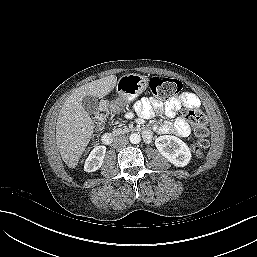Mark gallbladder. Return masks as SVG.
<instances>
[{
	"instance_id": "obj_1",
	"label": "gallbladder",
	"mask_w": 257,
	"mask_h": 257,
	"mask_svg": "<svg viewBox=\"0 0 257 257\" xmlns=\"http://www.w3.org/2000/svg\"><path fill=\"white\" fill-rule=\"evenodd\" d=\"M82 106L88 114H96L99 108V102L95 96L87 95L82 99Z\"/></svg>"
}]
</instances>
